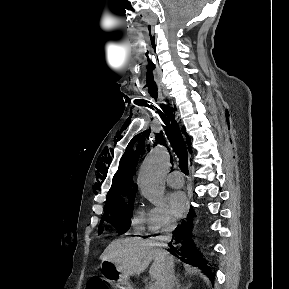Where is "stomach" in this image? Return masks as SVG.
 <instances>
[{
	"instance_id": "0dacf381",
	"label": "stomach",
	"mask_w": 289,
	"mask_h": 289,
	"mask_svg": "<svg viewBox=\"0 0 289 289\" xmlns=\"http://www.w3.org/2000/svg\"><path fill=\"white\" fill-rule=\"evenodd\" d=\"M100 269L106 275L107 280H111V284L116 288L132 289L129 277L119 272L112 262L102 260L100 263Z\"/></svg>"
}]
</instances>
